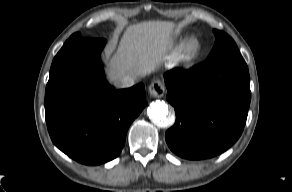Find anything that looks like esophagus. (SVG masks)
I'll use <instances>...</instances> for the list:
<instances>
[{
    "instance_id": "34e87169",
    "label": "esophagus",
    "mask_w": 292,
    "mask_h": 192,
    "mask_svg": "<svg viewBox=\"0 0 292 192\" xmlns=\"http://www.w3.org/2000/svg\"><path fill=\"white\" fill-rule=\"evenodd\" d=\"M149 94L152 97L160 98L165 93V86L160 80H154L148 88Z\"/></svg>"
}]
</instances>
